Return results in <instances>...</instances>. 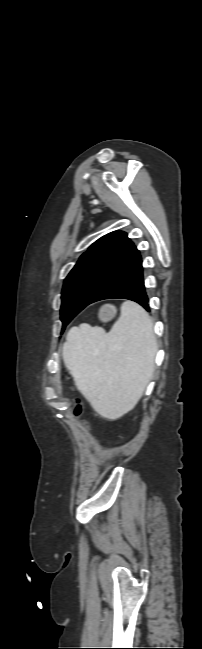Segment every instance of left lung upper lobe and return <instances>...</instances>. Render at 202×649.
Returning a JSON list of instances; mask_svg holds the SVG:
<instances>
[{
	"label": "left lung upper lobe",
	"mask_w": 202,
	"mask_h": 649,
	"mask_svg": "<svg viewBox=\"0 0 202 649\" xmlns=\"http://www.w3.org/2000/svg\"><path fill=\"white\" fill-rule=\"evenodd\" d=\"M134 243L122 231L104 235L81 255L68 274L62 290V330L90 302L121 264Z\"/></svg>",
	"instance_id": "obj_1"
}]
</instances>
